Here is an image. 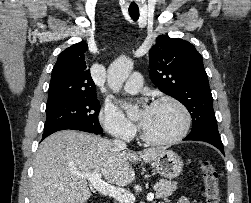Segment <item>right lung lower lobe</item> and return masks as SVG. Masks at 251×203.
<instances>
[{
  "label": "right lung lower lobe",
  "instance_id": "right-lung-lower-lobe-1",
  "mask_svg": "<svg viewBox=\"0 0 251 203\" xmlns=\"http://www.w3.org/2000/svg\"><path fill=\"white\" fill-rule=\"evenodd\" d=\"M65 129H71V130H80V131H85V132H90V133H95L89 129H86L84 127H81V126H77V125H70V126H63V127H58V128H54V129H50V130H47L43 133V137H42V140L44 138H46L47 136H49L50 134L56 132V131H59V130H65ZM97 134V133H95Z\"/></svg>",
  "mask_w": 251,
  "mask_h": 203
}]
</instances>
